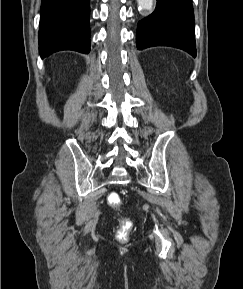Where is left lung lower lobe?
<instances>
[{"label":"left lung lower lobe","instance_id":"1","mask_svg":"<svg viewBox=\"0 0 243 289\" xmlns=\"http://www.w3.org/2000/svg\"><path fill=\"white\" fill-rule=\"evenodd\" d=\"M137 49L172 46L196 57L192 0H157L155 11L138 22Z\"/></svg>","mask_w":243,"mask_h":289}]
</instances>
